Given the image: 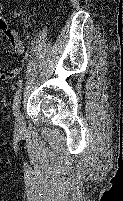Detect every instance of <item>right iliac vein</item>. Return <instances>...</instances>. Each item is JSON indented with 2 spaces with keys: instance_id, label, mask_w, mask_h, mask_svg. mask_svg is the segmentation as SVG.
I'll return each instance as SVG.
<instances>
[{
  "instance_id": "right-iliac-vein-1",
  "label": "right iliac vein",
  "mask_w": 123,
  "mask_h": 201,
  "mask_svg": "<svg viewBox=\"0 0 123 201\" xmlns=\"http://www.w3.org/2000/svg\"><path fill=\"white\" fill-rule=\"evenodd\" d=\"M16 128L18 130L22 129L23 126V120H22V116L21 113L18 112V115L16 116V122H15Z\"/></svg>"
}]
</instances>
